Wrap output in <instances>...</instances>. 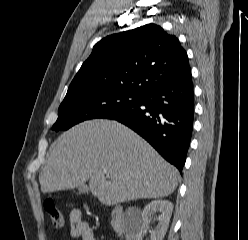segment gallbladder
Masks as SVG:
<instances>
[{
    "instance_id": "bac80fb5",
    "label": "gallbladder",
    "mask_w": 248,
    "mask_h": 240,
    "mask_svg": "<svg viewBox=\"0 0 248 240\" xmlns=\"http://www.w3.org/2000/svg\"><path fill=\"white\" fill-rule=\"evenodd\" d=\"M78 191L80 194H86L89 192V187L83 184L78 187Z\"/></svg>"
}]
</instances>
